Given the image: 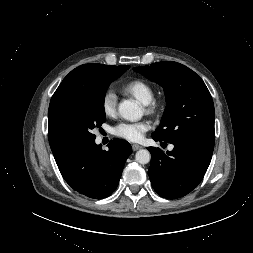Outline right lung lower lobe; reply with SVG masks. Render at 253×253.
<instances>
[{
  "mask_svg": "<svg viewBox=\"0 0 253 253\" xmlns=\"http://www.w3.org/2000/svg\"><path fill=\"white\" fill-rule=\"evenodd\" d=\"M107 151L95 140L71 145L54 154L61 175L78 193L93 199L110 196L117 188L131 145L114 138Z\"/></svg>",
  "mask_w": 253,
  "mask_h": 253,
  "instance_id": "1",
  "label": "right lung lower lobe"
}]
</instances>
